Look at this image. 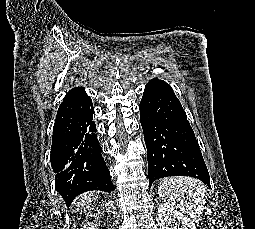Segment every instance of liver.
<instances>
[{
	"label": "liver",
	"instance_id": "6515ba94",
	"mask_svg": "<svg viewBox=\"0 0 255 229\" xmlns=\"http://www.w3.org/2000/svg\"><path fill=\"white\" fill-rule=\"evenodd\" d=\"M99 195H94L93 192L87 193L82 195L79 198V201L77 204H79L81 207H88L89 205H92L93 200H98Z\"/></svg>",
	"mask_w": 255,
	"mask_h": 229
}]
</instances>
